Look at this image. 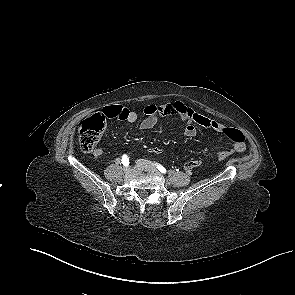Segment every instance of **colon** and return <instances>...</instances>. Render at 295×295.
Wrapping results in <instances>:
<instances>
[{
	"mask_svg": "<svg viewBox=\"0 0 295 295\" xmlns=\"http://www.w3.org/2000/svg\"><path fill=\"white\" fill-rule=\"evenodd\" d=\"M105 120L100 114H95L80 123L79 126V145L85 152H91L104 129ZM226 136L235 144L233 151H222L218 154L220 160L229 158L233 153H240L244 150V135L236 129H228ZM153 153H160L159 148H152Z\"/></svg>",
	"mask_w": 295,
	"mask_h": 295,
	"instance_id": "1",
	"label": "colon"
}]
</instances>
